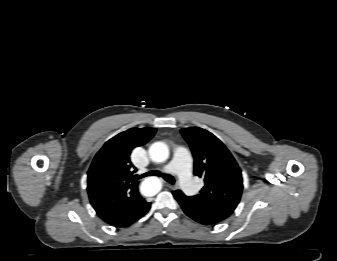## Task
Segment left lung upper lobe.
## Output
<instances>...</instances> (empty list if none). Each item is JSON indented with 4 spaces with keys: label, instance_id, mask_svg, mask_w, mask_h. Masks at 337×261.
Returning a JSON list of instances; mask_svg holds the SVG:
<instances>
[{
    "label": "left lung upper lobe",
    "instance_id": "5c2ea615",
    "mask_svg": "<svg viewBox=\"0 0 337 261\" xmlns=\"http://www.w3.org/2000/svg\"><path fill=\"white\" fill-rule=\"evenodd\" d=\"M194 157V174L202 177L204 187L196 196L182 201L195 210L221 222L238 205L242 189L241 170L225 145L212 133L199 127L181 129Z\"/></svg>",
    "mask_w": 337,
    "mask_h": 261
}]
</instances>
